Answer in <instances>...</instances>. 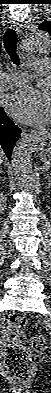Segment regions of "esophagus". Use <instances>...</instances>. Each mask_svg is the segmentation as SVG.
I'll return each mask as SVG.
<instances>
[{
	"instance_id": "obj_1",
	"label": "esophagus",
	"mask_w": 51,
	"mask_h": 393,
	"mask_svg": "<svg viewBox=\"0 0 51 393\" xmlns=\"http://www.w3.org/2000/svg\"><path fill=\"white\" fill-rule=\"evenodd\" d=\"M12 28L18 33L21 34L22 30H21V25L18 23H13L12 24Z\"/></svg>"
}]
</instances>
